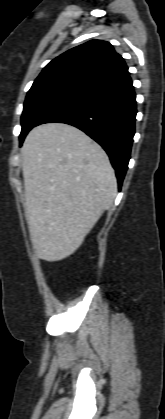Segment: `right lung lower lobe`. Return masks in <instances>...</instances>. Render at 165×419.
<instances>
[{
	"mask_svg": "<svg viewBox=\"0 0 165 419\" xmlns=\"http://www.w3.org/2000/svg\"><path fill=\"white\" fill-rule=\"evenodd\" d=\"M136 113V96L128 75L56 108L37 125L61 122L84 131L109 155L120 189L130 159Z\"/></svg>",
	"mask_w": 165,
	"mask_h": 419,
	"instance_id": "obj_1",
	"label": "right lung lower lobe"
}]
</instances>
